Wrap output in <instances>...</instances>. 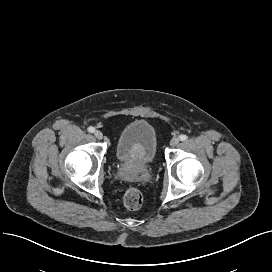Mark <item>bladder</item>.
I'll use <instances>...</instances> for the list:
<instances>
[{"label":"bladder","instance_id":"obj_1","mask_svg":"<svg viewBox=\"0 0 272 272\" xmlns=\"http://www.w3.org/2000/svg\"><path fill=\"white\" fill-rule=\"evenodd\" d=\"M157 146V133L152 124L145 119H137L120 132L115 155L121 163L144 167L154 160Z\"/></svg>","mask_w":272,"mask_h":272}]
</instances>
